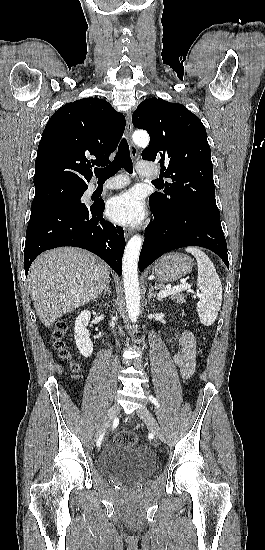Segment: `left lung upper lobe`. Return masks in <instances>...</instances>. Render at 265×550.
Wrapping results in <instances>:
<instances>
[{"mask_svg":"<svg viewBox=\"0 0 265 550\" xmlns=\"http://www.w3.org/2000/svg\"><path fill=\"white\" fill-rule=\"evenodd\" d=\"M132 122L150 135L142 158L160 163L173 181L163 185L164 194L150 195V206L160 214L196 209L220 217L211 150L200 119L181 104L149 98L139 104Z\"/></svg>","mask_w":265,"mask_h":550,"instance_id":"left-lung-upper-lobe-1","label":"left lung upper lobe"}]
</instances>
